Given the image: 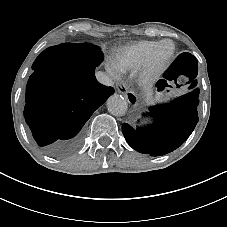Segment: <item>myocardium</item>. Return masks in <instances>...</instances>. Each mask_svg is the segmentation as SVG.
Returning a JSON list of instances; mask_svg holds the SVG:
<instances>
[{
    "label": "myocardium",
    "mask_w": 227,
    "mask_h": 227,
    "mask_svg": "<svg viewBox=\"0 0 227 227\" xmlns=\"http://www.w3.org/2000/svg\"><path fill=\"white\" fill-rule=\"evenodd\" d=\"M170 45L168 52L164 51L165 46ZM176 53V47L172 41H163L155 50L152 57L145 63L139 73V79L145 86L156 84L163 77L169 68Z\"/></svg>",
    "instance_id": "obj_1"
}]
</instances>
